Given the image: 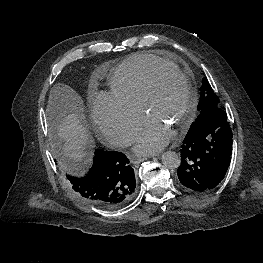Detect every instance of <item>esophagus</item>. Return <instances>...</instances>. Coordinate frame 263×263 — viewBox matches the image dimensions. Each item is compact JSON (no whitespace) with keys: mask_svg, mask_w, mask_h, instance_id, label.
I'll list each match as a JSON object with an SVG mask.
<instances>
[{"mask_svg":"<svg viewBox=\"0 0 263 263\" xmlns=\"http://www.w3.org/2000/svg\"><path fill=\"white\" fill-rule=\"evenodd\" d=\"M145 159H147L146 157H142V158H132V163L137 166L139 165L141 162H143Z\"/></svg>","mask_w":263,"mask_h":263,"instance_id":"esophagus-1","label":"esophagus"}]
</instances>
